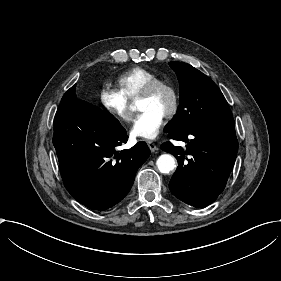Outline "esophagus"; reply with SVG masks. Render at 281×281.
<instances>
[{
  "label": "esophagus",
  "mask_w": 281,
  "mask_h": 281,
  "mask_svg": "<svg viewBox=\"0 0 281 281\" xmlns=\"http://www.w3.org/2000/svg\"><path fill=\"white\" fill-rule=\"evenodd\" d=\"M146 143L152 152L157 150V146L152 141H147Z\"/></svg>",
  "instance_id": "34e87169"
}]
</instances>
